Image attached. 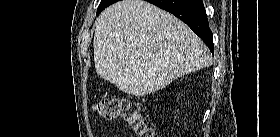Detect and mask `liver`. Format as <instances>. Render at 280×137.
<instances>
[{
    "mask_svg": "<svg viewBox=\"0 0 280 137\" xmlns=\"http://www.w3.org/2000/svg\"><path fill=\"white\" fill-rule=\"evenodd\" d=\"M96 73L127 94L144 96L211 65L207 46L170 13L143 0H122L96 20Z\"/></svg>",
    "mask_w": 280,
    "mask_h": 137,
    "instance_id": "obj_1",
    "label": "liver"
}]
</instances>
